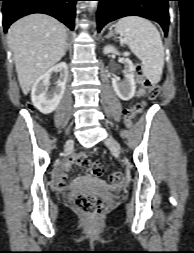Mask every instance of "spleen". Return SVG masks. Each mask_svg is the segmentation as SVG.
<instances>
[{"mask_svg": "<svg viewBox=\"0 0 194 253\" xmlns=\"http://www.w3.org/2000/svg\"><path fill=\"white\" fill-rule=\"evenodd\" d=\"M116 29L142 61L146 78L153 84L158 83L164 66V47L158 29L147 19L138 16L121 18Z\"/></svg>", "mask_w": 194, "mask_h": 253, "instance_id": "1", "label": "spleen"}]
</instances>
